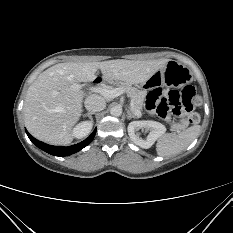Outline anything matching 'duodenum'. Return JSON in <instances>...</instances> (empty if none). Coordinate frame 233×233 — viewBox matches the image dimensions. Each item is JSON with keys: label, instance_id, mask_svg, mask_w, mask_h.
Instances as JSON below:
<instances>
[{"label": "duodenum", "instance_id": "obj_1", "mask_svg": "<svg viewBox=\"0 0 233 233\" xmlns=\"http://www.w3.org/2000/svg\"><path fill=\"white\" fill-rule=\"evenodd\" d=\"M101 76H103V71H98V72H96V77H101ZM100 81H101V79L98 78V79H97V82H100Z\"/></svg>", "mask_w": 233, "mask_h": 233}]
</instances>
